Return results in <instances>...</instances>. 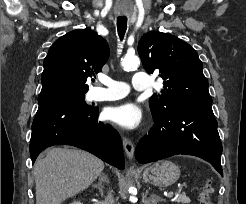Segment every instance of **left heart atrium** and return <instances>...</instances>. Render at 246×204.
<instances>
[{"label": "left heart atrium", "mask_w": 246, "mask_h": 204, "mask_svg": "<svg viewBox=\"0 0 246 204\" xmlns=\"http://www.w3.org/2000/svg\"><path fill=\"white\" fill-rule=\"evenodd\" d=\"M104 116L107 120L125 129H135L142 121L141 110L133 103L109 107L105 110Z\"/></svg>", "instance_id": "1"}]
</instances>
